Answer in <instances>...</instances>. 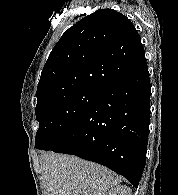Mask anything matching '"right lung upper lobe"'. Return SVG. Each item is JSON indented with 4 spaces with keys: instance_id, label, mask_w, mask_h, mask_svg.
<instances>
[{
    "instance_id": "cb5924a9",
    "label": "right lung upper lobe",
    "mask_w": 178,
    "mask_h": 195,
    "mask_svg": "<svg viewBox=\"0 0 178 195\" xmlns=\"http://www.w3.org/2000/svg\"><path fill=\"white\" fill-rule=\"evenodd\" d=\"M146 64L131 21L112 9L84 17L52 49L37 87V105L71 91L100 90Z\"/></svg>"
}]
</instances>
